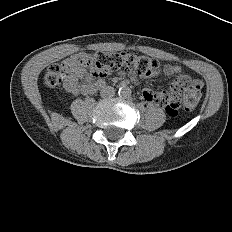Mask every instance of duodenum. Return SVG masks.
<instances>
[{
    "instance_id": "1",
    "label": "duodenum",
    "mask_w": 232,
    "mask_h": 232,
    "mask_svg": "<svg viewBox=\"0 0 232 232\" xmlns=\"http://www.w3.org/2000/svg\"><path fill=\"white\" fill-rule=\"evenodd\" d=\"M105 86V82L97 81L96 83L89 85L88 90L89 94L93 93L97 88H102Z\"/></svg>"
}]
</instances>
